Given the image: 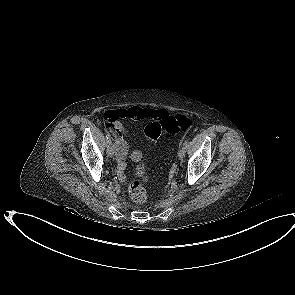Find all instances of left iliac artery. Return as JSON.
<instances>
[{
    "label": "left iliac artery",
    "mask_w": 295,
    "mask_h": 295,
    "mask_svg": "<svg viewBox=\"0 0 295 295\" xmlns=\"http://www.w3.org/2000/svg\"><path fill=\"white\" fill-rule=\"evenodd\" d=\"M188 144H189V139H186V140L184 141V143H183V146L187 147Z\"/></svg>",
    "instance_id": "obj_1"
}]
</instances>
